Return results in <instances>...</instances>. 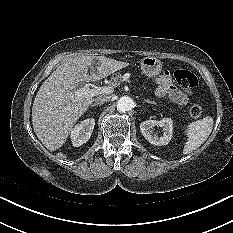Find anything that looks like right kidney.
Returning <instances> with one entry per match:
<instances>
[{
  "label": "right kidney",
  "instance_id": "obj_1",
  "mask_svg": "<svg viewBox=\"0 0 233 233\" xmlns=\"http://www.w3.org/2000/svg\"><path fill=\"white\" fill-rule=\"evenodd\" d=\"M95 126V120L93 118H88L81 123L75 125L71 131V141L74 147H79L86 143L93 132Z\"/></svg>",
  "mask_w": 233,
  "mask_h": 233
}]
</instances>
